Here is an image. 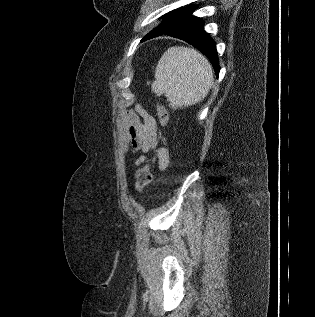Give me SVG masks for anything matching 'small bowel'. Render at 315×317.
Instances as JSON below:
<instances>
[{"label": "small bowel", "mask_w": 315, "mask_h": 317, "mask_svg": "<svg viewBox=\"0 0 315 317\" xmlns=\"http://www.w3.org/2000/svg\"><path fill=\"white\" fill-rule=\"evenodd\" d=\"M121 145L125 151L142 152L147 154L152 151L157 157L160 170H165L169 164V150L166 141L158 133L155 118L145 109L137 106L124 116L121 124ZM147 159L141 156L135 165Z\"/></svg>", "instance_id": "c3829d8e"}]
</instances>
